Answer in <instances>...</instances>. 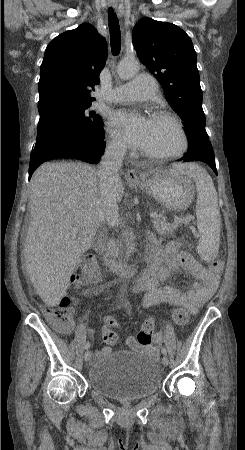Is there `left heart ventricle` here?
Instances as JSON below:
<instances>
[{
	"label": "left heart ventricle",
	"mask_w": 245,
	"mask_h": 450,
	"mask_svg": "<svg viewBox=\"0 0 245 450\" xmlns=\"http://www.w3.org/2000/svg\"><path fill=\"white\" fill-rule=\"evenodd\" d=\"M180 145V136L173 125L166 121L151 120L146 152L166 153L176 150Z\"/></svg>",
	"instance_id": "1"
}]
</instances>
